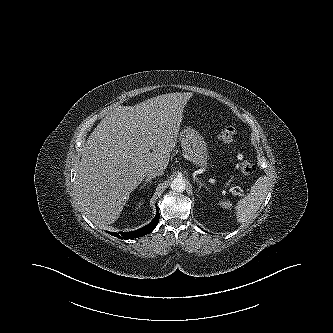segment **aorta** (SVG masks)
<instances>
[{
	"label": "aorta",
	"instance_id": "aorta-1",
	"mask_svg": "<svg viewBox=\"0 0 333 333\" xmlns=\"http://www.w3.org/2000/svg\"><path fill=\"white\" fill-rule=\"evenodd\" d=\"M186 188L185 181L182 178H175L171 183V189L174 192H183Z\"/></svg>",
	"mask_w": 333,
	"mask_h": 333
}]
</instances>
